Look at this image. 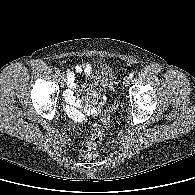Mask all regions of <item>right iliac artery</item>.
Returning <instances> with one entry per match:
<instances>
[{
  "label": "right iliac artery",
  "mask_w": 195,
  "mask_h": 195,
  "mask_svg": "<svg viewBox=\"0 0 195 195\" xmlns=\"http://www.w3.org/2000/svg\"><path fill=\"white\" fill-rule=\"evenodd\" d=\"M55 72H56V74H60V70L59 69H56Z\"/></svg>",
  "instance_id": "82829eb1"
}]
</instances>
